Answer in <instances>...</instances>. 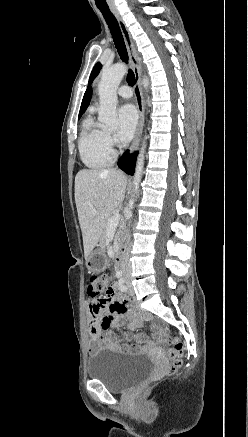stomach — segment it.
<instances>
[{"mask_svg":"<svg viewBox=\"0 0 248 437\" xmlns=\"http://www.w3.org/2000/svg\"><path fill=\"white\" fill-rule=\"evenodd\" d=\"M86 266L89 272H106L107 258L102 251H94L88 256Z\"/></svg>","mask_w":248,"mask_h":437,"instance_id":"1","label":"stomach"}]
</instances>
